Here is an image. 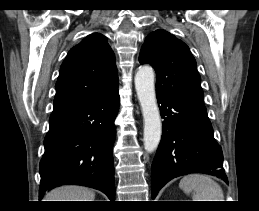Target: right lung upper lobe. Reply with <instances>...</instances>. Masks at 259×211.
Returning <instances> with one entry per match:
<instances>
[{
  "instance_id": "1",
  "label": "right lung upper lobe",
  "mask_w": 259,
  "mask_h": 211,
  "mask_svg": "<svg viewBox=\"0 0 259 211\" xmlns=\"http://www.w3.org/2000/svg\"><path fill=\"white\" fill-rule=\"evenodd\" d=\"M117 90L113 51L104 35L93 33L73 47L62 63L53 111L84 105Z\"/></svg>"
}]
</instances>
